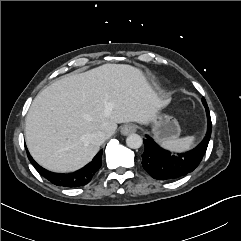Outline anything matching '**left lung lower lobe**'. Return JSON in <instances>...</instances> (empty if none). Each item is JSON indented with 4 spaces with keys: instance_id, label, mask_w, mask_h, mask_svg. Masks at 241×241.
Wrapping results in <instances>:
<instances>
[{
    "instance_id": "1",
    "label": "left lung lower lobe",
    "mask_w": 241,
    "mask_h": 241,
    "mask_svg": "<svg viewBox=\"0 0 241 241\" xmlns=\"http://www.w3.org/2000/svg\"><path fill=\"white\" fill-rule=\"evenodd\" d=\"M208 130L204 140L193 150L185 153L173 154L159 147L149 136L144 140L145 150L142 154V165L148 174L158 180H172L192 172L201 162L210 137L211 118L207 103L204 104Z\"/></svg>"
}]
</instances>
